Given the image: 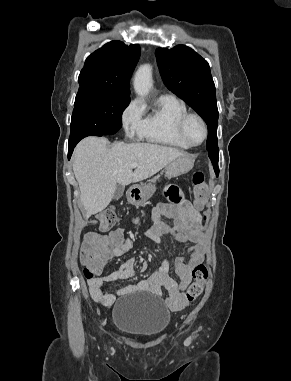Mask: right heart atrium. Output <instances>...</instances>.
<instances>
[{"label": "right heart atrium", "instance_id": "d8ad5b80", "mask_svg": "<svg viewBox=\"0 0 291 381\" xmlns=\"http://www.w3.org/2000/svg\"><path fill=\"white\" fill-rule=\"evenodd\" d=\"M122 125L125 132L132 136L138 132L141 120L142 110L136 100L131 101L123 110L121 115Z\"/></svg>", "mask_w": 291, "mask_h": 381}]
</instances>
